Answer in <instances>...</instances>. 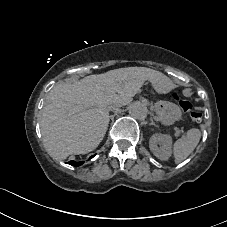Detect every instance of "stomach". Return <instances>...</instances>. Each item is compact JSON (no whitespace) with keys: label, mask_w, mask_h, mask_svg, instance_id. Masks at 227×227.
Here are the masks:
<instances>
[{"label":"stomach","mask_w":227,"mask_h":227,"mask_svg":"<svg viewBox=\"0 0 227 227\" xmlns=\"http://www.w3.org/2000/svg\"><path fill=\"white\" fill-rule=\"evenodd\" d=\"M154 110L163 125H172L181 118L180 107L169 101L156 102Z\"/></svg>","instance_id":"obj_1"}]
</instances>
